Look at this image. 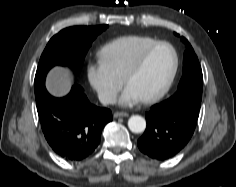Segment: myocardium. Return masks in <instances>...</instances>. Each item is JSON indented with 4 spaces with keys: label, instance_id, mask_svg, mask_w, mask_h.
I'll return each instance as SVG.
<instances>
[{
    "label": "myocardium",
    "instance_id": "myocardium-1",
    "mask_svg": "<svg viewBox=\"0 0 236 187\" xmlns=\"http://www.w3.org/2000/svg\"><path fill=\"white\" fill-rule=\"evenodd\" d=\"M161 46H166L171 49V51L173 53V57H174L173 66H172L171 72L169 74V77H168L166 83L159 91H157L156 93H154L150 96L139 99L140 102H142L144 104L157 102L158 100L163 98L168 93L170 88L172 87L174 80L176 78V75H177L178 67H179V55H178L176 48L171 43H169L167 41H157V42L151 44L150 46H148L146 49H144L139 54V56L136 58V60L131 65V67L128 69V71L126 72V74L123 78V82H124L125 86L127 87L129 81L141 70V68L143 67L148 56L155 49H157Z\"/></svg>",
    "mask_w": 236,
    "mask_h": 187
}]
</instances>
